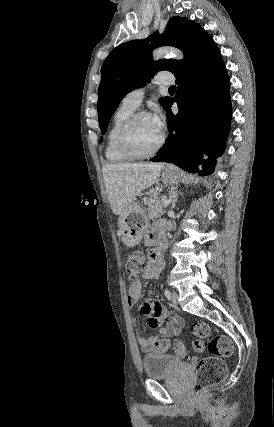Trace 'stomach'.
Instances as JSON below:
<instances>
[{"instance_id": "1", "label": "stomach", "mask_w": 274, "mask_h": 427, "mask_svg": "<svg viewBox=\"0 0 274 427\" xmlns=\"http://www.w3.org/2000/svg\"><path fill=\"white\" fill-rule=\"evenodd\" d=\"M180 170L176 166H166L163 170L161 182L163 184H176L180 178ZM149 225V219L145 212L137 206V204H132L128 210H123L122 214L118 219L119 233L121 241L127 247H133L137 245L144 231H146Z\"/></svg>"}]
</instances>
